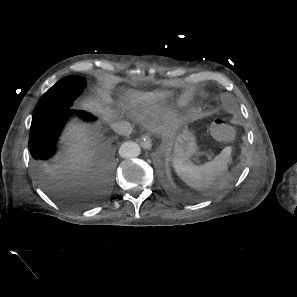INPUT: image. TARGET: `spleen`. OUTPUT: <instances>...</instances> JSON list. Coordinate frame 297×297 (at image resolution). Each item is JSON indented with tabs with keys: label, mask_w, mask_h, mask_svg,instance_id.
<instances>
[{
	"label": "spleen",
	"mask_w": 297,
	"mask_h": 297,
	"mask_svg": "<svg viewBox=\"0 0 297 297\" xmlns=\"http://www.w3.org/2000/svg\"><path fill=\"white\" fill-rule=\"evenodd\" d=\"M231 151L232 148L228 146L213 160L203 165H194L190 161L175 159L173 166L177 175L189 187L200 191L216 189L223 184Z\"/></svg>",
	"instance_id": "1"
}]
</instances>
